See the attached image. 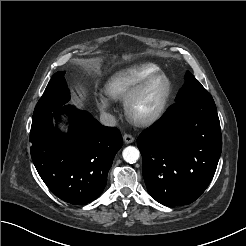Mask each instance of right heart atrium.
Instances as JSON below:
<instances>
[{
    "label": "right heart atrium",
    "mask_w": 246,
    "mask_h": 246,
    "mask_svg": "<svg viewBox=\"0 0 246 246\" xmlns=\"http://www.w3.org/2000/svg\"><path fill=\"white\" fill-rule=\"evenodd\" d=\"M96 104L100 110L105 112L110 111L112 108L111 101L106 95H98L96 98Z\"/></svg>",
    "instance_id": "1"
}]
</instances>
